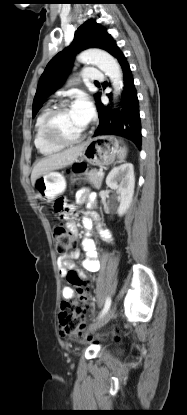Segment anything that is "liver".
Returning <instances> with one entry per match:
<instances>
[{"label":"liver","instance_id":"obj_1","mask_svg":"<svg viewBox=\"0 0 187 415\" xmlns=\"http://www.w3.org/2000/svg\"><path fill=\"white\" fill-rule=\"evenodd\" d=\"M83 149H84L83 145H78V146L71 147L62 152L55 153V154L49 155L41 159L38 163H36V165L34 166L32 170V173H31L32 185L35 184L36 180L40 176L48 172L62 169L64 167H67L73 164L77 160L78 156L83 151Z\"/></svg>","mask_w":187,"mask_h":415}]
</instances>
